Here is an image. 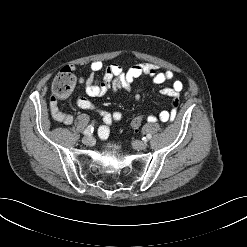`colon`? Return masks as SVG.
<instances>
[{"label": "colon", "instance_id": "5ec220e1", "mask_svg": "<svg viewBox=\"0 0 247 247\" xmlns=\"http://www.w3.org/2000/svg\"><path fill=\"white\" fill-rule=\"evenodd\" d=\"M75 86V77L71 67L63 68L52 82V98L53 101L68 98ZM179 101H175V107L178 108ZM145 120L144 115H138L131 121L133 130L139 129Z\"/></svg>", "mask_w": 247, "mask_h": 247}]
</instances>
